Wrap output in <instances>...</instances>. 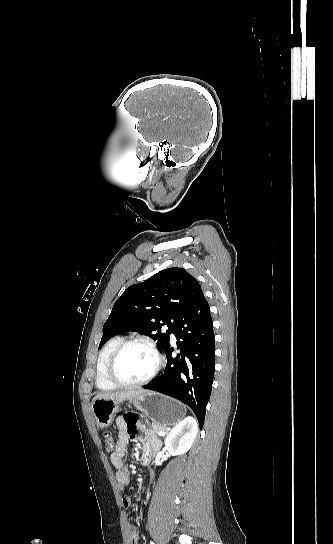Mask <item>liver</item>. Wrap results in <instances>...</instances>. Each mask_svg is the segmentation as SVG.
I'll use <instances>...</instances> for the list:
<instances>
[{
    "instance_id": "obj_1",
    "label": "liver",
    "mask_w": 333,
    "mask_h": 544,
    "mask_svg": "<svg viewBox=\"0 0 333 544\" xmlns=\"http://www.w3.org/2000/svg\"><path fill=\"white\" fill-rule=\"evenodd\" d=\"M148 391L146 390H128L123 392H108V393H100L97 396L94 397V400L96 399H118V400H126V399H132L134 397H137L141 394H144Z\"/></svg>"
}]
</instances>
